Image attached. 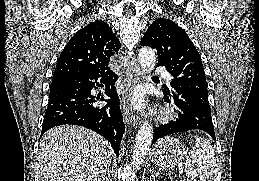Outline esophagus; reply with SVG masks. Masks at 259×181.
Returning <instances> with one entry per match:
<instances>
[{
  "mask_svg": "<svg viewBox=\"0 0 259 181\" xmlns=\"http://www.w3.org/2000/svg\"><path fill=\"white\" fill-rule=\"evenodd\" d=\"M141 78V71L134 59L129 62V67L127 71V87L125 93L127 94L137 83H139ZM123 115L126 122L131 126L137 128L140 124V117L133 114L126 104L123 105Z\"/></svg>",
  "mask_w": 259,
  "mask_h": 181,
  "instance_id": "1",
  "label": "esophagus"
}]
</instances>
